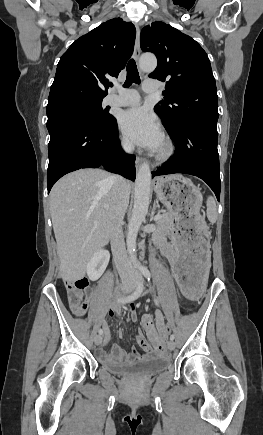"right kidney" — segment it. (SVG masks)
I'll use <instances>...</instances> for the list:
<instances>
[{
	"label": "right kidney",
	"instance_id": "ca27d5eb",
	"mask_svg": "<svg viewBox=\"0 0 263 435\" xmlns=\"http://www.w3.org/2000/svg\"><path fill=\"white\" fill-rule=\"evenodd\" d=\"M110 259V254L107 250L96 251L87 264V275L90 280H98L104 273Z\"/></svg>",
	"mask_w": 263,
	"mask_h": 435
}]
</instances>
